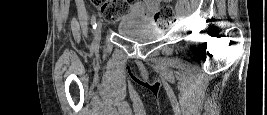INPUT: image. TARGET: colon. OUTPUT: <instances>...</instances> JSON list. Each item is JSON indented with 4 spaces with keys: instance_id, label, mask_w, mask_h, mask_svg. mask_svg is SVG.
<instances>
[{
    "instance_id": "1",
    "label": "colon",
    "mask_w": 267,
    "mask_h": 115,
    "mask_svg": "<svg viewBox=\"0 0 267 115\" xmlns=\"http://www.w3.org/2000/svg\"><path fill=\"white\" fill-rule=\"evenodd\" d=\"M129 11V1L126 0H110L101 5L100 16L107 22H116L127 15ZM154 18L160 23H170L176 20V11L170 5L159 6Z\"/></svg>"
}]
</instances>
